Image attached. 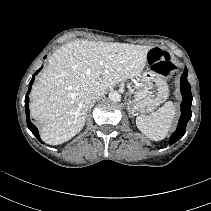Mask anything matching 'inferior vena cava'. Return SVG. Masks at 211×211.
<instances>
[{
  "label": "inferior vena cava",
  "mask_w": 211,
  "mask_h": 211,
  "mask_svg": "<svg viewBox=\"0 0 211 211\" xmlns=\"http://www.w3.org/2000/svg\"><path fill=\"white\" fill-rule=\"evenodd\" d=\"M104 93H105V90H103V89H97V90H95L94 93H93V99L95 100V99L100 98L101 96L104 95Z\"/></svg>",
  "instance_id": "obj_1"
}]
</instances>
